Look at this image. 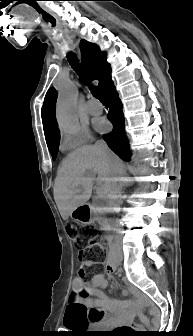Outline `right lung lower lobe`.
<instances>
[{
    "label": "right lung lower lobe",
    "instance_id": "1",
    "mask_svg": "<svg viewBox=\"0 0 193 336\" xmlns=\"http://www.w3.org/2000/svg\"><path fill=\"white\" fill-rule=\"evenodd\" d=\"M103 94L110 104L108 119L113 124V130L107 135H103V139L107 142L108 146L124 161L131 160V151L129 149L127 137L124 130V116L122 113V103L118 97V93L111 80Z\"/></svg>",
    "mask_w": 193,
    "mask_h": 336
}]
</instances>
